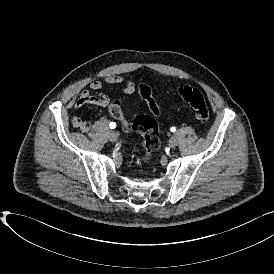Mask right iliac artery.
Returning a JSON list of instances; mask_svg holds the SVG:
<instances>
[{"instance_id": "obj_1", "label": "right iliac artery", "mask_w": 274, "mask_h": 274, "mask_svg": "<svg viewBox=\"0 0 274 274\" xmlns=\"http://www.w3.org/2000/svg\"><path fill=\"white\" fill-rule=\"evenodd\" d=\"M109 126H110L111 129H114V128H116V123L115 122H111Z\"/></svg>"}]
</instances>
